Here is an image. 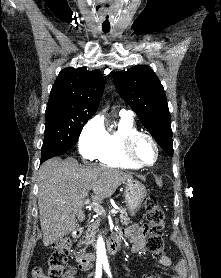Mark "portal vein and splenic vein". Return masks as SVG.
Returning <instances> with one entry per match:
<instances>
[{
    "label": "portal vein and splenic vein",
    "instance_id": "18ae733b",
    "mask_svg": "<svg viewBox=\"0 0 221 278\" xmlns=\"http://www.w3.org/2000/svg\"><path fill=\"white\" fill-rule=\"evenodd\" d=\"M84 203H85L86 205L90 204V205L92 206L93 210H94L97 214H99V215L102 214L103 208H102L98 203H96V202L90 203L89 199H86V200L84 201ZM110 213H111V214H117V210H116V209H111V210H110Z\"/></svg>",
    "mask_w": 221,
    "mask_h": 278
}]
</instances>
